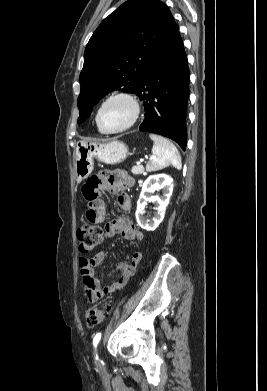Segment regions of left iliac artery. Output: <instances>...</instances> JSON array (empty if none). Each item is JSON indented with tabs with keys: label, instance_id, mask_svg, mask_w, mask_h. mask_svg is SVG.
Masks as SVG:
<instances>
[{
	"label": "left iliac artery",
	"instance_id": "1",
	"mask_svg": "<svg viewBox=\"0 0 267 391\" xmlns=\"http://www.w3.org/2000/svg\"><path fill=\"white\" fill-rule=\"evenodd\" d=\"M100 338H101V333L96 334V336L94 337L93 344H94L95 347L97 346Z\"/></svg>",
	"mask_w": 267,
	"mask_h": 391
}]
</instances>
